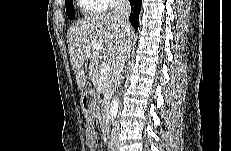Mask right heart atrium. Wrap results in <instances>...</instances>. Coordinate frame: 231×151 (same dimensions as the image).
<instances>
[{
    "instance_id": "right-heart-atrium-1",
    "label": "right heart atrium",
    "mask_w": 231,
    "mask_h": 151,
    "mask_svg": "<svg viewBox=\"0 0 231 151\" xmlns=\"http://www.w3.org/2000/svg\"><path fill=\"white\" fill-rule=\"evenodd\" d=\"M89 2L96 3L99 6L100 10H113L119 7L123 1L122 0H90Z\"/></svg>"
}]
</instances>
